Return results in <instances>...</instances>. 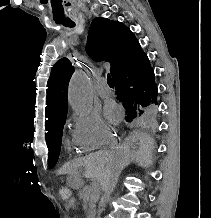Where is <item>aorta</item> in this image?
<instances>
[{
	"mask_svg": "<svg viewBox=\"0 0 211 218\" xmlns=\"http://www.w3.org/2000/svg\"><path fill=\"white\" fill-rule=\"evenodd\" d=\"M68 100L72 109L80 115H86L93 108L90 85L86 75L78 70L69 83Z\"/></svg>",
	"mask_w": 211,
	"mask_h": 218,
	"instance_id": "aorta-1",
	"label": "aorta"
}]
</instances>
